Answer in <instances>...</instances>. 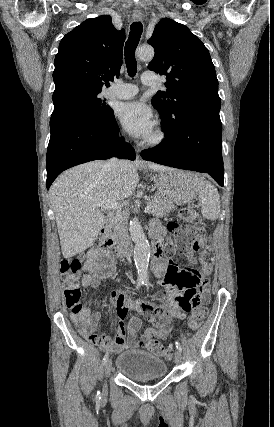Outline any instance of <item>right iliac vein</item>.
Masks as SVG:
<instances>
[{
    "instance_id": "1",
    "label": "right iliac vein",
    "mask_w": 274,
    "mask_h": 427,
    "mask_svg": "<svg viewBox=\"0 0 274 427\" xmlns=\"http://www.w3.org/2000/svg\"><path fill=\"white\" fill-rule=\"evenodd\" d=\"M111 368H112V361H111V359H108L107 362H106V364H105V385H104V389H106V386H107V382L106 381H107V378L110 375Z\"/></svg>"
}]
</instances>
